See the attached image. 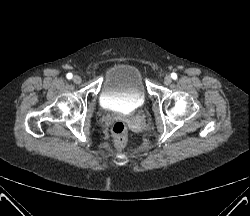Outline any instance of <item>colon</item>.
<instances>
[{"mask_svg":"<svg viewBox=\"0 0 250 216\" xmlns=\"http://www.w3.org/2000/svg\"><path fill=\"white\" fill-rule=\"evenodd\" d=\"M112 134L118 148H124L127 144L128 130L126 124L118 120L112 126Z\"/></svg>","mask_w":250,"mask_h":216,"instance_id":"5ec220e1","label":"colon"}]
</instances>
